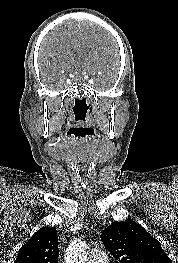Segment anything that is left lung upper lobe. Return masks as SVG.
<instances>
[{"label": "left lung upper lobe", "mask_w": 178, "mask_h": 263, "mask_svg": "<svg viewBox=\"0 0 178 263\" xmlns=\"http://www.w3.org/2000/svg\"><path fill=\"white\" fill-rule=\"evenodd\" d=\"M101 240L119 263H172L159 241L130 219L113 222Z\"/></svg>", "instance_id": "obj_1"}]
</instances>
